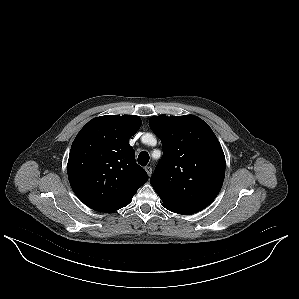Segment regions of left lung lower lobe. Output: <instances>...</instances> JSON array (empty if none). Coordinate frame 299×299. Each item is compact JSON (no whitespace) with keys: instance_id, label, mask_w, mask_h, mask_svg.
I'll return each mask as SVG.
<instances>
[{"instance_id":"0a47b994","label":"left lung lower lobe","mask_w":299,"mask_h":299,"mask_svg":"<svg viewBox=\"0 0 299 299\" xmlns=\"http://www.w3.org/2000/svg\"><path fill=\"white\" fill-rule=\"evenodd\" d=\"M168 209V208H167ZM170 210V209H168ZM172 212L178 213V214H183V215H190L193 214V212H183V211H174V210H170Z\"/></svg>"}]
</instances>
